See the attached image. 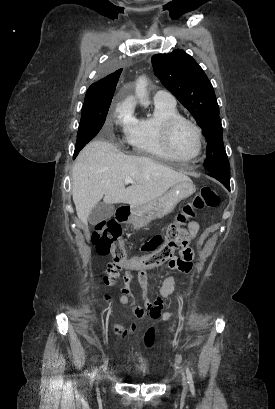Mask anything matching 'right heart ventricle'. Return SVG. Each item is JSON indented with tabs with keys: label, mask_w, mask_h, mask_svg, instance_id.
<instances>
[{
	"label": "right heart ventricle",
	"mask_w": 275,
	"mask_h": 409,
	"mask_svg": "<svg viewBox=\"0 0 275 409\" xmlns=\"http://www.w3.org/2000/svg\"><path fill=\"white\" fill-rule=\"evenodd\" d=\"M179 117L175 107L156 105L152 116L136 120L128 135L132 152L147 157H170L163 140L166 121Z\"/></svg>",
	"instance_id": "right-heart-ventricle-1"
}]
</instances>
